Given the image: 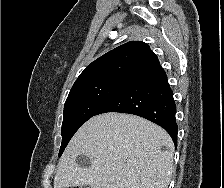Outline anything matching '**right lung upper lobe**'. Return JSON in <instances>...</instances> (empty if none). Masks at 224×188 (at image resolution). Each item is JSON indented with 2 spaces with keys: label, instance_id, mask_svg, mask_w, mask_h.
I'll list each match as a JSON object with an SVG mask.
<instances>
[{
  "label": "right lung upper lobe",
  "instance_id": "1",
  "mask_svg": "<svg viewBox=\"0 0 224 188\" xmlns=\"http://www.w3.org/2000/svg\"><path fill=\"white\" fill-rule=\"evenodd\" d=\"M157 63V56L146 43L130 41L93 61L74 85L110 77L134 79Z\"/></svg>",
  "mask_w": 224,
  "mask_h": 188
}]
</instances>
